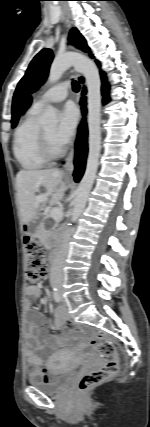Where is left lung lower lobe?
Here are the masks:
<instances>
[{
  "mask_svg": "<svg viewBox=\"0 0 150 427\" xmlns=\"http://www.w3.org/2000/svg\"><path fill=\"white\" fill-rule=\"evenodd\" d=\"M98 63V62H97ZM98 65H100L98 63ZM101 77L102 80L105 81L106 80V76L103 72H101ZM82 81V79H81ZM109 91V85L108 83H104L102 85V94L105 96L103 99V102L106 103L109 98L107 96ZM86 93V89H83V95ZM85 97H82L81 99V105H82V111L83 113H85L86 108H85ZM87 127H86V123L85 121H82L80 127H79V134H78V139L76 141V155H75V172H74V177H75V181L78 182L84 172V167H85V159H86V154H87Z\"/></svg>",
  "mask_w": 150,
  "mask_h": 427,
  "instance_id": "1",
  "label": "left lung lower lobe"
}]
</instances>
